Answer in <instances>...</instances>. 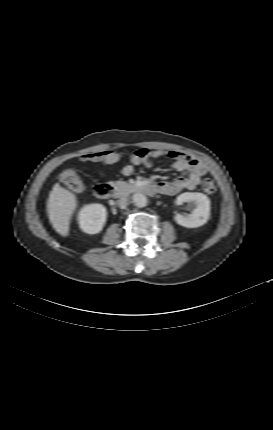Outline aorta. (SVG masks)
<instances>
[{"instance_id": "762f6f07", "label": "aorta", "mask_w": 273, "mask_h": 430, "mask_svg": "<svg viewBox=\"0 0 273 430\" xmlns=\"http://www.w3.org/2000/svg\"><path fill=\"white\" fill-rule=\"evenodd\" d=\"M132 200L134 205L139 208L145 207L148 203L147 197L141 193L134 194Z\"/></svg>"}]
</instances>
